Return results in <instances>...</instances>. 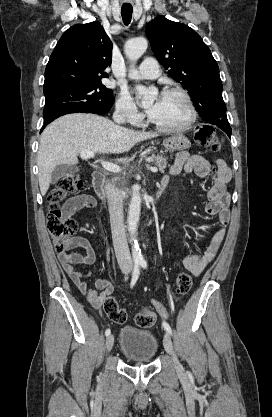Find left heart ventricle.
<instances>
[{
    "label": "left heart ventricle",
    "mask_w": 272,
    "mask_h": 417,
    "mask_svg": "<svg viewBox=\"0 0 272 417\" xmlns=\"http://www.w3.org/2000/svg\"><path fill=\"white\" fill-rule=\"evenodd\" d=\"M156 101L157 110L150 116L156 123L163 126H179L187 121L189 110L181 96L162 95Z\"/></svg>",
    "instance_id": "obj_1"
}]
</instances>
